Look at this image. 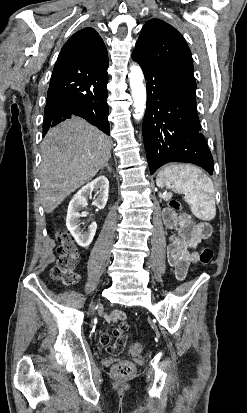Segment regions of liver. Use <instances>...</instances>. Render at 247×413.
Wrapping results in <instances>:
<instances>
[{"instance_id":"6515ba94","label":"liver","mask_w":247,"mask_h":413,"mask_svg":"<svg viewBox=\"0 0 247 413\" xmlns=\"http://www.w3.org/2000/svg\"><path fill=\"white\" fill-rule=\"evenodd\" d=\"M112 140L79 116L48 130L41 146L39 176L45 213H52L73 190L92 180L111 156Z\"/></svg>"}]
</instances>
